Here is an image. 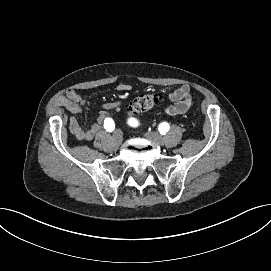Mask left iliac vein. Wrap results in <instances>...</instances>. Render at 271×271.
<instances>
[{"label":"left iliac vein","mask_w":271,"mask_h":271,"mask_svg":"<svg viewBox=\"0 0 271 271\" xmlns=\"http://www.w3.org/2000/svg\"><path fill=\"white\" fill-rule=\"evenodd\" d=\"M145 137L151 142H154L160 145L164 144V137L158 133L147 132L145 133Z\"/></svg>","instance_id":"left-iliac-vein-1"}]
</instances>
